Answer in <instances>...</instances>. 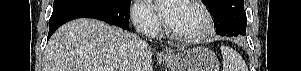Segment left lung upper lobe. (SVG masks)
I'll use <instances>...</instances> for the list:
<instances>
[{"label": "left lung upper lobe", "instance_id": "5c2ea615", "mask_svg": "<svg viewBox=\"0 0 301 71\" xmlns=\"http://www.w3.org/2000/svg\"><path fill=\"white\" fill-rule=\"evenodd\" d=\"M210 9L213 17L218 15L220 11L227 6L244 7L243 0H203Z\"/></svg>", "mask_w": 301, "mask_h": 71}]
</instances>
